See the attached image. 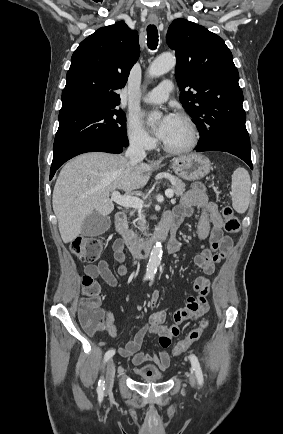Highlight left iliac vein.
<instances>
[{"instance_id": "obj_1", "label": "left iliac vein", "mask_w": 283, "mask_h": 434, "mask_svg": "<svg viewBox=\"0 0 283 434\" xmlns=\"http://www.w3.org/2000/svg\"><path fill=\"white\" fill-rule=\"evenodd\" d=\"M188 377H189L190 385H191L192 387H194V386H195V376H194V372H193L192 369L189 370V372H188Z\"/></svg>"}]
</instances>
